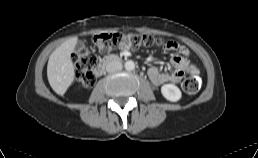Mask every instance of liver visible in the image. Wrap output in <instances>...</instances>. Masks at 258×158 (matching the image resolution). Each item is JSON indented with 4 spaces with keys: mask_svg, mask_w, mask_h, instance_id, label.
<instances>
[{
    "mask_svg": "<svg viewBox=\"0 0 258 158\" xmlns=\"http://www.w3.org/2000/svg\"><path fill=\"white\" fill-rule=\"evenodd\" d=\"M78 38L72 37L57 47L49 57L47 78L51 88L58 94H65L74 80L75 69L71 60Z\"/></svg>",
    "mask_w": 258,
    "mask_h": 158,
    "instance_id": "6515ba94",
    "label": "liver"
}]
</instances>
